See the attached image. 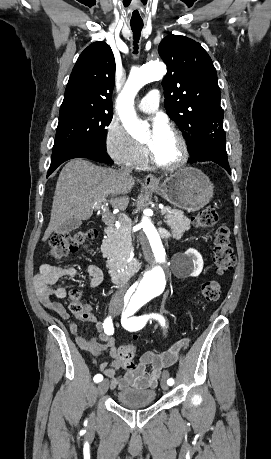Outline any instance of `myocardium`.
<instances>
[{"label": "myocardium", "mask_w": 271, "mask_h": 459, "mask_svg": "<svg viewBox=\"0 0 271 459\" xmlns=\"http://www.w3.org/2000/svg\"><path fill=\"white\" fill-rule=\"evenodd\" d=\"M168 131L173 136L177 144V153L171 159H162L158 157L147 145L151 160L161 168H178L185 164L189 158V147L185 137L174 125H169Z\"/></svg>", "instance_id": "1"}]
</instances>
